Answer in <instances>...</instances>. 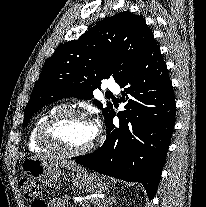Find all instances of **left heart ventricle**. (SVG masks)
<instances>
[{"instance_id":"left-heart-ventricle-1","label":"left heart ventricle","mask_w":206,"mask_h":207,"mask_svg":"<svg viewBox=\"0 0 206 207\" xmlns=\"http://www.w3.org/2000/svg\"><path fill=\"white\" fill-rule=\"evenodd\" d=\"M54 141L67 150L86 147L94 139L92 125L81 119H68L51 130Z\"/></svg>"}]
</instances>
